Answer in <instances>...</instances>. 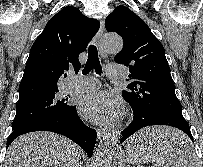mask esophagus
Returning a JSON list of instances; mask_svg holds the SVG:
<instances>
[{
  "instance_id": "esophagus-1",
  "label": "esophagus",
  "mask_w": 203,
  "mask_h": 167,
  "mask_svg": "<svg viewBox=\"0 0 203 167\" xmlns=\"http://www.w3.org/2000/svg\"><path fill=\"white\" fill-rule=\"evenodd\" d=\"M103 32H104V24L102 21H100V28H99L96 36H95L94 41H95V44L97 45L99 52H100L102 57L104 56V52H103L102 45H101ZM106 134H107V130H105V129H98L97 130V136L99 139L106 136Z\"/></svg>"
}]
</instances>
